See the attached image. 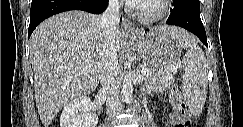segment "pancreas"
Returning <instances> with one entry per match:
<instances>
[{"mask_svg":"<svg viewBox=\"0 0 243 127\" xmlns=\"http://www.w3.org/2000/svg\"><path fill=\"white\" fill-rule=\"evenodd\" d=\"M143 67L148 71L145 74L146 80L155 91L164 90L174 82V78L170 74L157 72L148 64H143Z\"/></svg>","mask_w":243,"mask_h":127,"instance_id":"obj_1","label":"pancreas"}]
</instances>
